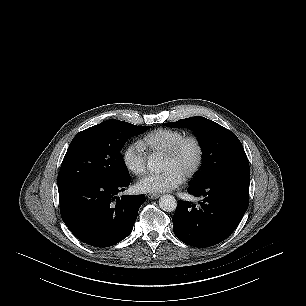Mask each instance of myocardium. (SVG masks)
Returning a JSON list of instances; mask_svg holds the SVG:
<instances>
[{
  "label": "myocardium",
  "instance_id": "myocardium-1",
  "mask_svg": "<svg viewBox=\"0 0 306 306\" xmlns=\"http://www.w3.org/2000/svg\"><path fill=\"white\" fill-rule=\"evenodd\" d=\"M188 142L194 143V145L197 149V159H196V162H195L193 168L184 177L185 181H188V180H191L192 178H194L198 174V172L200 171V169L203 165L204 147H203V144H202L201 140L195 135H185L181 139H179L169 150H167L164 153V156H166L168 158H174L179 154V152L181 151L183 146Z\"/></svg>",
  "mask_w": 306,
  "mask_h": 306
}]
</instances>
